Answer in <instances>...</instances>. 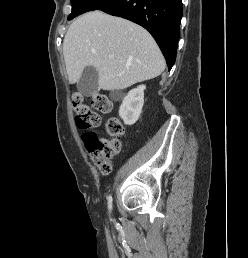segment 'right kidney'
I'll list each match as a JSON object with an SVG mask.
<instances>
[{"label":"right kidney","instance_id":"obj_1","mask_svg":"<svg viewBox=\"0 0 248 258\" xmlns=\"http://www.w3.org/2000/svg\"><path fill=\"white\" fill-rule=\"evenodd\" d=\"M145 89V85H140L129 91V93L123 98L122 104L119 108V116L126 125H133L139 119L144 104ZM112 97L114 99H119L122 97V94L115 93Z\"/></svg>","mask_w":248,"mask_h":258}]
</instances>
